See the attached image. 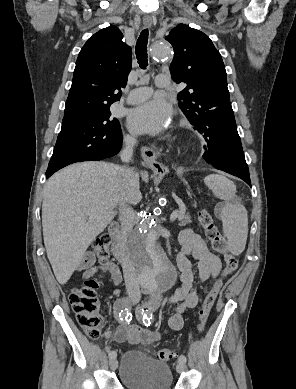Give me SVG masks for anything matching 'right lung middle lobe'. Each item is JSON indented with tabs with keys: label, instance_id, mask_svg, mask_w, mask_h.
Segmentation results:
<instances>
[{
	"label": "right lung middle lobe",
	"instance_id": "right-lung-middle-lobe-1",
	"mask_svg": "<svg viewBox=\"0 0 296 389\" xmlns=\"http://www.w3.org/2000/svg\"><path fill=\"white\" fill-rule=\"evenodd\" d=\"M122 133L119 121L109 108L95 113L64 117L48 168L85 161L120 147Z\"/></svg>",
	"mask_w": 296,
	"mask_h": 389
}]
</instances>
